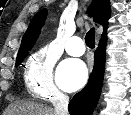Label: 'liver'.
I'll use <instances>...</instances> for the list:
<instances>
[{"instance_id":"obj_1","label":"liver","mask_w":131,"mask_h":115,"mask_svg":"<svg viewBox=\"0 0 131 115\" xmlns=\"http://www.w3.org/2000/svg\"><path fill=\"white\" fill-rule=\"evenodd\" d=\"M4 115H56V113L49 106L20 101L11 104Z\"/></svg>"}]
</instances>
